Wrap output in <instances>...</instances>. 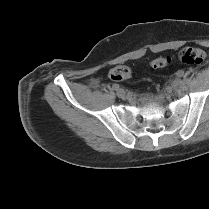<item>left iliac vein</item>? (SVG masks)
I'll use <instances>...</instances> for the list:
<instances>
[{"instance_id":"obj_1","label":"left iliac vein","mask_w":209,"mask_h":209,"mask_svg":"<svg viewBox=\"0 0 209 209\" xmlns=\"http://www.w3.org/2000/svg\"><path fill=\"white\" fill-rule=\"evenodd\" d=\"M182 84V78L181 77H176L175 80L173 81V88L179 87Z\"/></svg>"}]
</instances>
